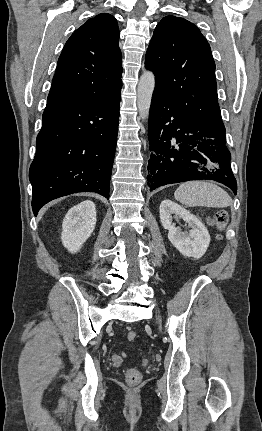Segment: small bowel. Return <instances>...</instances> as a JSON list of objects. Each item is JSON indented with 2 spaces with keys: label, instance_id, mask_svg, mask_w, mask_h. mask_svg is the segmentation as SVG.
Masks as SVG:
<instances>
[{
  "label": "small bowel",
  "instance_id": "small-bowel-1",
  "mask_svg": "<svg viewBox=\"0 0 262 431\" xmlns=\"http://www.w3.org/2000/svg\"><path fill=\"white\" fill-rule=\"evenodd\" d=\"M113 360H114L115 362H118V361H119V357H118V356H116V355H114V356H113Z\"/></svg>",
  "mask_w": 262,
  "mask_h": 431
}]
</instances>
